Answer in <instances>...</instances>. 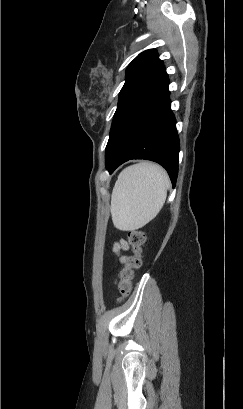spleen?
Instances as JSON below:
<instances>
[{
  "label": "spleen",
  "instance_id": "spleen-1",
  "mask_svg": "<svg viewBox=\"0 0 243 409\" xmlns=\"http://www.w3.org/2000/svg\"><path fill=\"white\" fill-rule=\"evenodd\" d=\"M170 180L151 162L131 165L118 176L111 196L112 221L120 230H136L156 217L163 207Z\"/></svg>",
  "mask_w": 243,
  "mask_h": 409
}]
</instances>
